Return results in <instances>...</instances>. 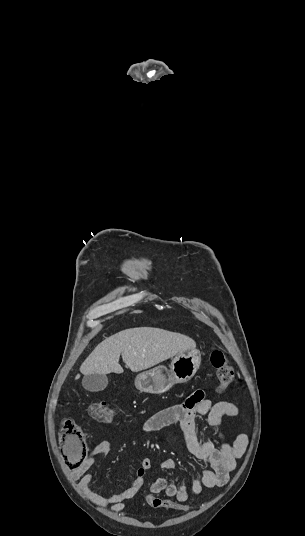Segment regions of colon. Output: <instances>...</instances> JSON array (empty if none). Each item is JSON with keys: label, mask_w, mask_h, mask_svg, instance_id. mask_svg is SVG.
Listing matches in <instances>:
<instances>
[{"label": "colon", "mask_w": 305, "mask_h": 536, "mask_svg": "<svg viewBox=\"0 0 305 536\" xmlns=\"http://www.w3.org/2000/svg\"><path fill=\"white\" fill-rule=\"evenodd\" d=\"M210 363L215 370L217 385L220 389H226L233 381V371L229 364L226 353L219 347H215L210 352ZM89 415L96 421H110L113 417L112 409L103 400H94L88 407ZM83 430L73 418H63L59 432L61 441V459L64 462L65 471H80L81 462L85 460L87 451L86 441L83 438ZM145 501L153 511L161 509H181L185 511L188 506L182 504L180 500L162 497L149 493L145 495Z\"/></svg>", "instance_id": "5ec220e1"}]
</instances>
